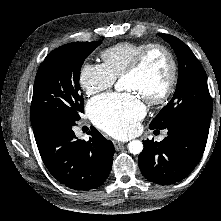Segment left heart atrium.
<instances>
[{"instance_id":"left-heart-atrium-1","label":"left heart atrium","mask_w":221,"mask_h":221,"mask_svg":"<svg viewBox=\"0 0 221 221\" xmlns=\"http://www.w3.org/2000/svg\"><path fill=\"white\" fill-rule=\"evenodd\" d=\"M88 113L111 136L127 139L138 131V121L145 115L146 107L140 95L133 91L97 97L88 104Z\"/></svg>"}]
</instances>
